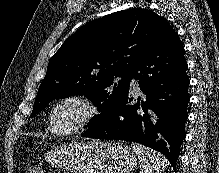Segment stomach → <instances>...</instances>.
<instances>
[{
    "label": "stomach",
    "mask_w": 219,
    "mask_h": 173,
    "mask_svg": "<svg viewBox=\"0 0 219 173\" xmlns=\"http://www.w3.org/2000/svg\"><path fill=\"white\" fill-rule=\"evenodd\" d=\"M46 160L67 173H132L137 158L123 142H71L54 146Z\"/></svg>",
    "instance_id": "obj_1"
}]
</instances>
